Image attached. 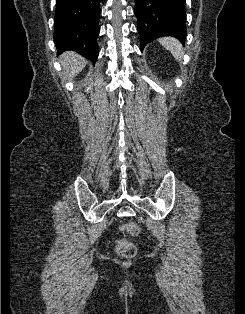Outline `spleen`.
<instances>
[{
	"label": "spleen",
	"instance_id": "1",
	"mask_svg": "<svg viewBox=\"0 0 245 314\" xmlns=\"http://www.w3.org/2000/svg\"><path fill=\"white\" fill-rule=\"evenodd\" d=\"M159 43L167 50H169L173 57L178 61L181 62L183 58V50H182V44L174 38L171 37H165L160 38Z\"/></svg>",
	"mask_w": 245,
	"mask_h": 314
}]
</instances>
